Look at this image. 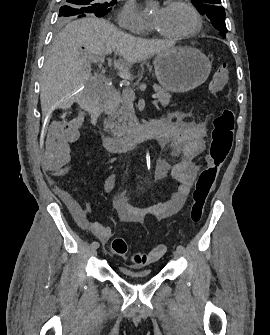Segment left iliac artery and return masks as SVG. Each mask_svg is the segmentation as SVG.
I'll use <instances>...</instances> for the list:
<instances>
[{"mask_svg": "<svg viewBox=\"0 0 270 335\" xmlns=\"http://www.w3.org/2000/svg\"><path fill=\"white\" fill-rule=\"evenodd\" d=\"M177 250H179V251H181V252H184V251H185V248H184V246H182V245H178V246H177Z\"/></svg>", "mask_w": 270, "mask_h": 335, "instance_id": "left-iliac-artery-1", "label": "left iliac artery"}]
</instances>
